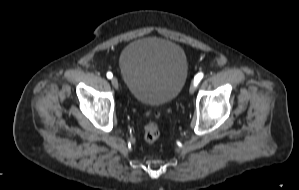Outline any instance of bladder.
<instances>
[{
	"label": "bladder",
	"instance_id": "obj_1",
	"mask_svg": "<svg viewBox=\"0 0 299 190\" xmlns=\"http://www.w3.org/2000/svg\"><path fill=\"white\" fill-rule=\"evenodd\" d=\"M119 68L133 97L153 106L168 103L181 92L187 79L188 60L178 44L145 37L123 49Z\"/></svg>",
	"mask_w": 299,
	"mask_h": 190
}]
</instances>
